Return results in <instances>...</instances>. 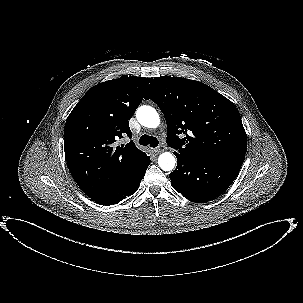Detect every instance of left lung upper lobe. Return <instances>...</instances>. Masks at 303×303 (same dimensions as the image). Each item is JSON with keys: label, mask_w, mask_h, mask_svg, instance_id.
Returning a JSON list of instances; mask_svg holds the SVG:
<instances>
[{"label": "left lung upper lobe", "mask_w": 303, "mask_h": 303, "mask_svg": "<svg viewBox=\"0 0 303 303\" xmlns=\"http://www.w3.org/2000/svg\"><path fill=\"white\" fill-rule=\"evenodd\" d=\"M145 98L165 115L167 143L176 153L193 160L242 165L247 137L240 114L213 88L195 80L162 76L152 80Z\"/></svg>", "instance_id": "left-lung-upper-lobe-1"}]
</instances>
